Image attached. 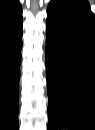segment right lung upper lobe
I'll use <instances>...</instances> for the list:
<instances>
[{"label": "right lung upper lobe", "mask_w": 95, "mask_h": 130, "mask_svg": "<svg viewBox=\"0 0 95 130\" xmlns=\"http://www.w3.org/2000/svg\"><path fill=\"white\" fill-rule=\"evenodd\" d=\"M22 25V8L19 0H2L0 3V34L13 31Z\"/></svg>", "instance_id": "cb5924a9"}]
</instances>
